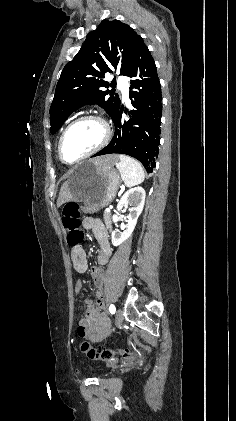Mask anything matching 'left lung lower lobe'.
<instances>
[{
  "label": "left lung lower lobe",
  "mask_w": 236,
  "mask_h": 421,
  "mask_svg": "<svg viewBox=\"0 0 236 421\" xmlns=\"http://www.w3.org/2000/svg\"><path fill=\"white\" fill-rule=\"evenodd\" d=\"M131 78L129 97L133 110L130 119L122 118L123 106L112 117L115 134L111 142L94 156L119 153L139 160L152 173L158 157L162 116L161 85L154 59L142 44L125 75ZM126 113V112H125Z\"/></svg>",
  "instance_id": "left-lung-lower-lobe-1"
}]
</instances>
